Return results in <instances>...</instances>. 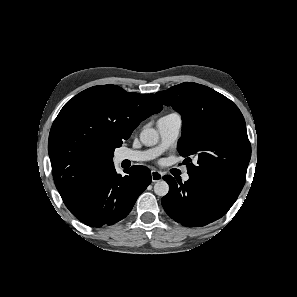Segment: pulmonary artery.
Here are the masks:
<instances>
[{"label":"pulmonary artery","mask_w":297,"mask_h":297,"mask_svg":"<svg viewBox=\"0 0 297 297\" xmlns=\"http://www.w3.org/2000/svg\"><path fill=\"white\" fill-rule=\"evenodd\" d=\"M181 126L182 121L177 114H170L162 117L158 121V130L160 133L161 142L157 147L144 151L125 150L118 155V160L142 162L154 159L178 139L181 132ZM183 180L188 181L189 175L184 174Z\"/></svg>","instance_id":"e3ab8cb5"}]
</instances>
